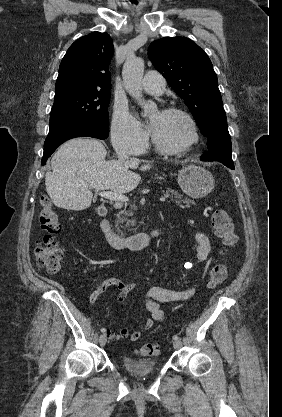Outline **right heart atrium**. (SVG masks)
Segmentation results:
<instances>
[{"label":"right heart atrium","mask_w":282,"mask_h":417,"mask_svg":"<svg viewBox=\"0 0 282 417\" xmlns=\"http://www.w3.org/2000/svg\"><path fill=\"white\" fill-rule=\"evenodd\" d=\"M111 141L117 152L139 155L148 146L149 133L125 107L116 106L111 124Z\"/></svg>","instance_id":"d8ad5b80"}]
</instances>
